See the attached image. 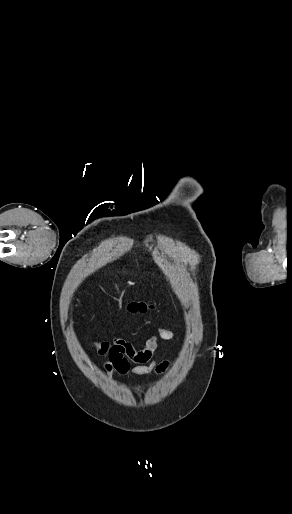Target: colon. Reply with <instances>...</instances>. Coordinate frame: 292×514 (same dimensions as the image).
Returning a JSON list of instances; mask_svg holds the SVG:
<instances>
[{
  "label": "colon",
  "mask_w": 292,
  "mask_h": 514,
  "mask_svg": "<svg viewBox=\"0 0 292 514\" xmlns=\"http://www.w3.org/2000/svg\"><path fill=\"white\" fill-rule=\"evenodd\" d=\"M127 308L131 313H146L150 310V305L144 301H132Z\"/></svg>",
  "instance_id": "1"
}]
</instances>
